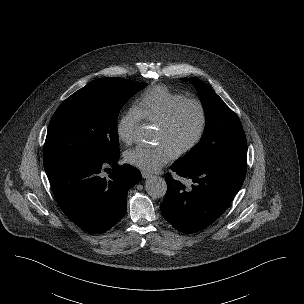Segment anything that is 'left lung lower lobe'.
Masks as SVG:
<instances>
[{
	"label": "left lung lower lobe",
	"instance_id": "0a47b994",
	"mask_svg": "<svg viewBox=\"0 0 304 304\" xmlns=\"http://www.w3.org/2000/svg\"><path fill=\"white\" fill-rule=\"evenodd\" d=\"M171 170L192 185L187 188L167 173L161 213L176 230L194 233L211 225L228 208L243 184L246 163L226 161L195 169L176 161Z\"/></svg>",
	"mask_w": 304,
	"mask_h": 304
}]
</instances>
